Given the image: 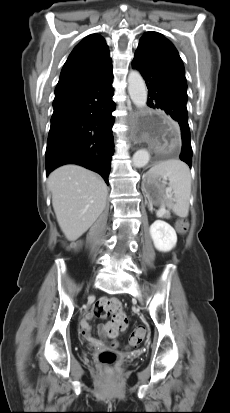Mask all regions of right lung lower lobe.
<instances>
[{
    "mask_svg": "<svg viewBox=\"0 0 230 413\" xmlns=\"http://www.w3.org/2000/svg\"><path fill=\"white\" fill-rule=\"evenodd\" d=\"M113 73L93 84L55 94L46 148V173L75 163L99 173L109 185L114 151Z\"/></svg>",
    "mask_w": 230,
    "mask_h": 413,
    "instance_id": "98d812e1",
    "label": "right lung lower lobe"
}]
</instances>
